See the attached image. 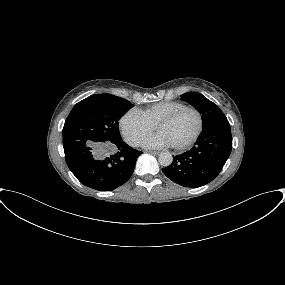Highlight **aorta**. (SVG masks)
Wrapping results in <instances>:
<instances>
[{"label": "aorta", "instance_id": "aorta-1", "mask_svg": "<svg viewBox=\"0 0 285 285\" xmlns=\"http://www.w3.org/2000/svg\"><path fill=\"white\" fill-rule=\"evenodd\" d=\"M158 161L161 166L168 167L173 161V157L170 152H162L158 157Z\"/></svg>", "mask_w": 285, "mask_h": 285}]
</instances>
